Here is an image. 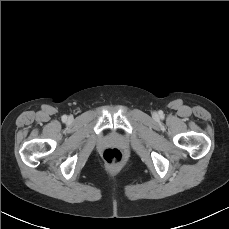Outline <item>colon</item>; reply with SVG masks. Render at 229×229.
Here are the masks:
<instances>
[{
	"label": "colon",
	"instance_id": "1",
	"mask_svg": "<svg viewBox=\"0 0 229 229\" xmlns=\"http://www.w3.org/2000/svg\"><path fill=\"white\" fill-rule=\"evenodd\" d=\"M103 158L105 163L109 166H119L123 162V154L116 148L106 149Z\"/></svg>",
	"mask_w": 229,
	"mask_h": 229
}]
</instances>
